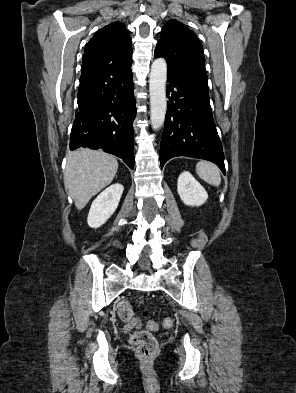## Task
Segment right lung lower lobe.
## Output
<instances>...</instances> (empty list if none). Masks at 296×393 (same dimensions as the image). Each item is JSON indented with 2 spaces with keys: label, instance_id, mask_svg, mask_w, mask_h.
Instances as JSON below:
<instances>
[{
  "label": "right lung lower lobe",
  "instance_id": "right-lung-lower-lobe-1",
  "mask_svg": "<svg viewBox=\"0 0 296 393\" xmlns=\"http://www.w3.org/2000/svg\"><path fill=\"white\" fill-rule=\"evenodd\" d=\"M132 60L82 63L70 149H103L134 168Z\"/></svg>",
  "mask_w": 296,
  "mask_h": 393
}]
</instances>
